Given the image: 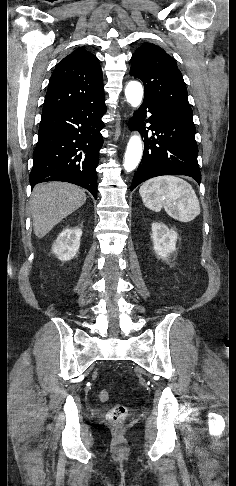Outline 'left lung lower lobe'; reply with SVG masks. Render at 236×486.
<instances>
[{
  "label": "left lung lower lobe",
  "mask_w": 236,
  "mask_h": 486,
  "mask_svg": "<svg viewBox=\"0 0 236 486\" xmlns=\"http://www.w3.org/2000/svg\"><path fill=\"white\" fill-rule=\"evenodd\" d=\"M146 120L153 133L142 126ZM146 124L144 123V126ZM130 128H137L145 136L144 154L131 184V191L140 183L161 175H186L201 182L197 162L198 147L195 141V125L192 120L178 117L156 101L144 98L141 107L130 120Z\"/></svg>",
  "instance_id": "left-lung-lower-lobe-1"
}]
</instances>
